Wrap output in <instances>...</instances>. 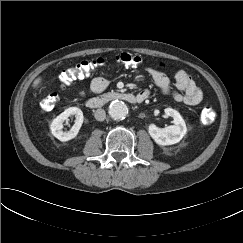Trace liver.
Wrapping results in <instances>:
<instances>
[{
  "instance_id": "6515ba94",
  "label": "liver",
  "mask_w": 243,
  "mask_h": 243,
  "mask_svg": "<svg viewBox=\"0 0 243 243\" xmlns=\"http://www.w3.org/2000/svg\"><path fill=\"white\" fill-rule=\"evenodd\" d=\"M41 82V77H38L34 82H33V87H37Z\"/></svg>"
}]
</instances>
